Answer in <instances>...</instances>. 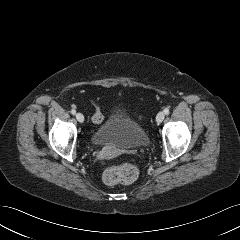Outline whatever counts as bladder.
<instances>
[{"label":"bladder","mask_w":240,"mask_h":240,"mask_svg":"<svg viewBox=\"0 0 240 240\" xmlns=\"http://www.w3.org/2000/svg\"><path fill=\"white\" fill-rule=\"evenodd\" d=\"M93 144L134 149L147 145L149 135L136 121L125 114L116 113L103 122L92 134Z\"/></svg>","instance_id":"1"}]
</instances>
